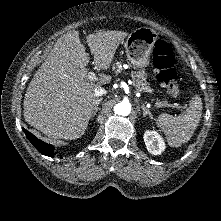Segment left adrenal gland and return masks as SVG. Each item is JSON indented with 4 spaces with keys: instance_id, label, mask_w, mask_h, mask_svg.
<instances>
[{
    "instance_id": "a2214340",
    "label": "left adrenal gland",
    "mask_w": 221,
    "mask_h": 221,
    "mask_svg": "<svg viewBox=\"0 0 221 221\" xmlns=\"http://www.w3.org/2000/svg\"><path fill=\"white\" fill-rule=\"evenodd\" d=\"M141 107H142V110H143V116L145 117V116L149 115V117H150L151 119H153L152 114H151V112L147 109V107H146L144 104H142Z\"/></svg>"
}]
</instances>
